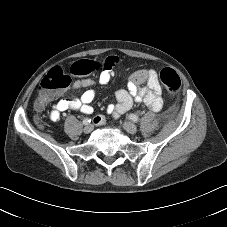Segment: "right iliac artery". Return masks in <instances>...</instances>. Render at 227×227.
I'll use <instances>...</instances> for the list:
<instances>
[{
	"label": "right iliac artery",
	"mask_w": 227,
	"mask_h": 227,
	"mask_svg": "<svg viewBox=\"0 0 227 227\" xmlns=\"http://www.w3.org/2000/svg\"><path fill=\"white\" fill-rule=\"evenodd\" d=\"M90 122H91V119H89V118H85V119L83 120V124H84V125H88Z\"/></svg>",
	"instance_id": "82829eb1"
}]
</instances>
